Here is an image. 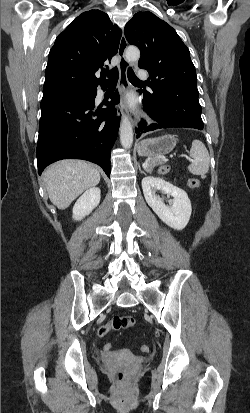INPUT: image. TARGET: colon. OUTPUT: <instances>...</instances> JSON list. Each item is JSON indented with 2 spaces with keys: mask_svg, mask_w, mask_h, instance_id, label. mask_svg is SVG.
<instances>
[{
  "mask_svg": "<svg viewBox=\"0 0 250 413\" xmlns=\"http://www.w3.org/2000/svg\"><path fill=\"white\" fill-rule=\"evenodd\" d=\"M171 167L169 165H163L159 168L160 174H167L170 172ZM190 188H198L201 185V182L197 178H191L187 182ZM136 324V319L131 315H124V316H115L112 320H108L107 322H101L99 324L98 334L100 336H107L109 331L111 330H120L133 327ZM103 348L105 352H110L112 349L115 348V343L112 341H106L103 343ZM141 352L148 353L150 351V347L148 345H142L140 347ZM115 376L120 381L127 380V373L121 369L116 368Z\"/></svg>",
  "mask_w": 250,
  "mask_h": 413,
  "instance_id": "obj_1",
  "label": "colon"
}]
</instances>
